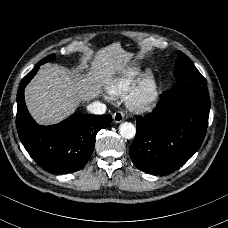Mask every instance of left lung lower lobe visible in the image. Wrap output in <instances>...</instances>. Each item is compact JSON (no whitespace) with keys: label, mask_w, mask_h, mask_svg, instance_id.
<instances>
[{"label":"left lung lower lobe","mask_w":228,"mask_h":228,"mask_svg":"<svg viewBox=\"0 0 228 228\" xmlns=\"http://www.w3.org/2000/svg\"><path fill=\"white\" fill-rule=\"evenodd\" d=\"M209 110L204 85L167 91L151 114L136 119V136L129 149L134 165L155 175L177 170L201 146Z\"/></svg>","instance_id":"obj_1"}]
</instances>
